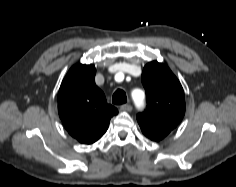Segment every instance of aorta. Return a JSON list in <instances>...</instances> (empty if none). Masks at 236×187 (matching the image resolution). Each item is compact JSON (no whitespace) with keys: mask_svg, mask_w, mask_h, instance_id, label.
I'll return each instance as SVG.
<instances>
[{"mask_svg":"<svg viewBox=\"0 0 236 187\" xmlns=\"http://www.w3.org/2000/svg\"><path fill=\"white\" fill-rule=\"evenodd\" d=\"M136 93H137V91L133 93V98L136 102H140L141 100H138V98L136 97Z\"/></svg>","mask_w":236,"mask_h":187,"instance_id":"obj_1","label":"aorta"}]
</instances>
